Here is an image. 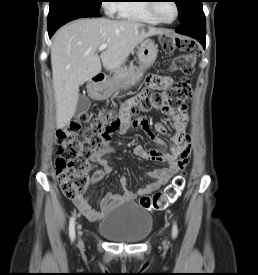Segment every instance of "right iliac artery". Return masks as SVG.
I'll return each instance as SVG.
<instances>
[{"label": "right iliac artery", "mask_w": 258, "mask_h": 275, "mask_svg": "<svg viewBox=\"0 0 258 275\" xmlns=\"http://www.w3.org/2000/svg\"><path fill=\"white\" fill-rule=\"evenodd\" d=\"M69 236L72 241L75 239V217H71L69 222Z\"/></svg>", "instance_id": "1"}]
</instances>
